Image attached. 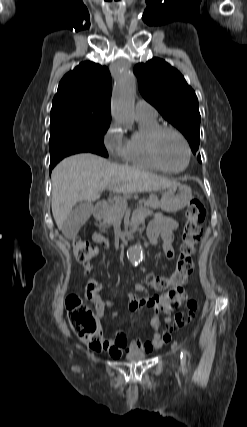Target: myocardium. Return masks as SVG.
Returning <instances> with one entry per match:
<instances>
[{
    "mask_svg": "<svg viewBox=\"0 0 247 427\" xmlns=\"http://www.w3.org/2000/svg\"><path fill=\"white\" fill-rule=\"evenodd\" d=\"M167 132H171V133L177 135L180 138V140L182 141V143L184 144V147L186 149L187 160H186L185 165L180 169L169 168L168 166H166L163 163V161L160 158L159 150H158L159 140H160L161 136ZM149 150H150V154H151L154 162L159 166V168L163 171L170 172V173H180V172H183L184 170H186L190 164L191 157H192V150H191L190 144H189L187 138L185 137V135L179 129H177L173 126H168V125L159 126L152 133V135L150 136V139H149Z\"/></svg>",
    "mask_w": 247,
    "mask_h": 427,
    "instance_id": "1",
    "label": "myocardium"
}]
</instances>
